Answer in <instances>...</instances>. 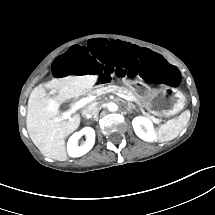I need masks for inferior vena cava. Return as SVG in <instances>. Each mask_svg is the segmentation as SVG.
<instances>
[{
	"label": "inferior vena cava",
	"instance_id": "obj_1",
	"mask_svg": "<svg viewBox=\"0 0 215 215\" xmlns=\"http://www.w3.org/2000/svg\"><path fill=\"white\" fill-rule=\"evenodd\" d=\"M82 115L85 119H91L97 115V107L94 105H87L82 109Z\"/></svg>",
	"mask_w": 215,
	"mask_h": 215
}]
</instances>
